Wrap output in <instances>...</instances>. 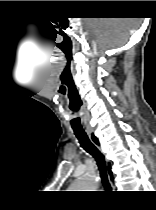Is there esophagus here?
Returning <instances> with one entry per match:
<instances>
[{"mask_svg":"<svg viewBox=\"0 0 156 210\" xmlns=\"http://www.w3.org/2000/svg\"><path fill=\"white\" fill-rule=\"evenodd\" d=\"M89 137H90V140L92 141V143L102 152L101 147H100V142H99V139L96 136V134L93 133V132H89ZM102 153H103V155L105 157V161H106L107 167H108V165L110 166V163H109V160H108L106 154L104 152H102ZM109 181H110L111 186H113L112 179L109 178Z\"/></svg>","mask_w":156,"mask_h":210,"instance_id":"1","label":"esophagus"}]
</instances>
